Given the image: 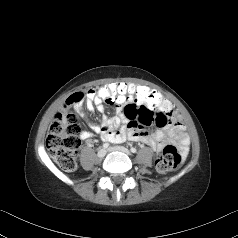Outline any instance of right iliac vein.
Here are the masks:
<instances>
[{
    "label": "right iliac vein",
    "instance_id": "obj_1",
    "mask_svg": "<svg viewBox=\"0 0 238 238\" xmlns=\"http://www.w3.org/2000/svg\"><path fill=\"white\" fill-rule=\"evenodd\" d=\"M106 153H107V151L104 148H101V149H99L97 156H98V158H103V157H105Z\"/></svg>",
    "mask_w": 238,
    "mask_h": 238
}]
</instances>
